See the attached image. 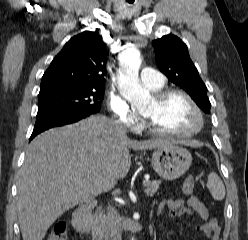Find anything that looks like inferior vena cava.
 <instances>
[{"instance_id":"602c4592","label":"inferior vena cava","mask_w":248,"mask_h":240,"mask_svg":"<svg viewBox=\"0 0 248 240\" xmlns=\"http://www.w3.org/2000/svg\"><path fill=\"white\" fill-rule=\"evenodd\" d=\"M118 130L125 134L127 132V127L123 124L115 123ZM107 227H106V236L109 240H121V234L118 226L117 213L115 208L109 205L107 209Z\"/></svg>"}]
</instances>
